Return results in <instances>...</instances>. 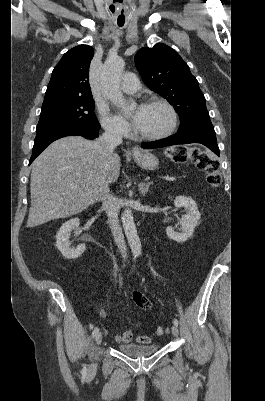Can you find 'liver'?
<instances>
[{
  "label": "liver",
  "mask_w": 265,
  "mask_h": 401,
  "mask_svg": "<svg viewBox=\"0 0 265 401\" xmlns=\"http://www.w3.org/2000/svg\"><path fill=\"white\" fill-rule=\"evenodd\" d=\"M119 174L120 156L109 152L100 138L65 136L55 140L32 162L26 227L82 213L100 201V186L115 182Z\"/></svg>",
  "instance_id": "1"
}]
</instances>
